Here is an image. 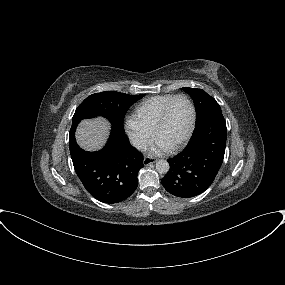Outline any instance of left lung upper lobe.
Instances as JSON below:
<instances>
[{"instance_id": "obj_1", "label": "left lung upper lobe", "mask_w": 285, "mask_h": 285, "mask_svg": "<svg viewBox=\"0 0 285 285\" xmlns=\"http://www.w3.org/2000/svg\"><path fill=\"white\" fill-rule=\"evenodd\" d=\"M186 93L190 94L196 108V126H198L207 116L214 112H221L219 104L214 98L208 95L202 89L182 88Z\"/></svg>"}]
</instances>
